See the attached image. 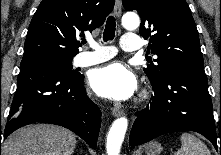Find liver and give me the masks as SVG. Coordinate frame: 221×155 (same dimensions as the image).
Returning a JSON list of instances; mask_svg holds the SVG:
<instances>
[{"label":"liver","instance_id":"liver-1","mask_svg":"<svg viewBox=\"0 0 221 155\" xmlns=\"http://www.w3.org/2000/svg\"><path fill=\"white\" fill-rule=\"evenodd\" d=\"M76 135L49 124H34L12 133L3 144L2 155H72Z\"/></svg>","mask_w":221,"mask_h":155}]
</instances>
